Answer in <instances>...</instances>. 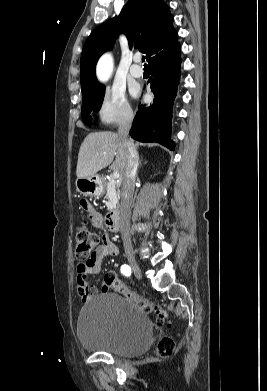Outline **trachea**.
I'll return each instance as SVG.
<instances>
[{
    "instance_id": "1",
    "label": "trachea",
    "mask_w": 267,
    "mask_h": 391,
    "mask_svg": "<svg viewBox=\"0 0 267 391\" xmlns=\"http://www.w3.org/2000/svg\"><path fill=\"white\" fill-rule=\"evenodd\" d=\"M144 61H145V57L143 56V57H142V62H144Z\"/></svg>"
}]
</instances>
